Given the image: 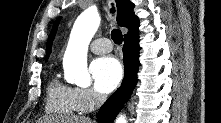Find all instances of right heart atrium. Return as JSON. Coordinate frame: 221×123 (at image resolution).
I'll return each instance as SVG.
<instances>
[{
	"label": "right heart atrium",
	"instance_id": "obj_1",
	"mask_svg": "<svg viewBox=\"0 0 221 123\" xmlns=\"http://www.w3.org/2000/svg\"><path fill=\"white\" fill-rule=\"evenodd\" d=\"M74 100L78 112L86 113L104 101V95L94 88H74Z\"/></svg>",
	"mask_w": 221,
	"mask_h": 123
}]
</instances>
